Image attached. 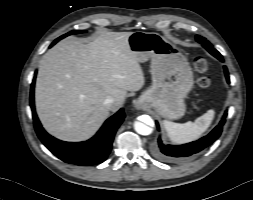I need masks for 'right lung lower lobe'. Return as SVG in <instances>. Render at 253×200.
I'll list each match as a JSON object with an SVG mask.
<instances>
[{
	"label": "right lung lower lobe",
	"mask_w": 253,
	"mask_h": 200,
	"mask_svg": "<svg viewBox=\"0 0 253 200\" xmlns=\"http://www.w3.org/2000/svg\"><path fill=\"white\" fill-rule=\"evenodd\" d=\"M58 41H54V45ZM35 78L31 84L30 105L36 133L43 144L59 159L76 165H95L103 162L109 155L114 135L125 118L123 109L110 117L97 134L85 142H64L50 136L41 126L34 106Z\"/></svg>",
	"instance_id": "1"
}]
</instances>
